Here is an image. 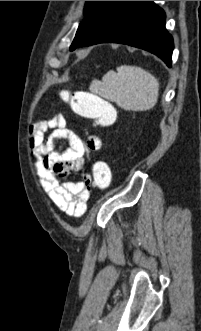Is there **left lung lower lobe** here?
Here are the masks:
<instances>
[{
    "mask_svg": "<svg viewBox=\"0 0 201 331\" xmlns=\"http://www.w3.org/2000/svg\"><path fill=\"white\" fill-rule=\"evenodd\" d=\"M165 17L153 1H119L79 46L127 44L157 55L171 67L174 44Z\"/></svg>",
    "mask_w": 201,
    "mask_h": 331,
    "instance_id": "0a47b994",
    "label": "left lung lower lobe"
}]
</instances>
